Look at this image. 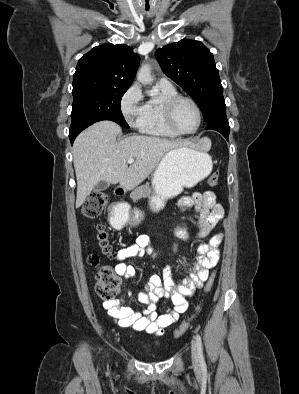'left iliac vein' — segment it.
<instances>
[{
  "label": "left iliac vein",
  "instance_id": "left-iliac-vein-1",
  "mask_svg": "<svg viewBox=\"0 0 299 394\" xmlns=\"http://www.w3.org/2000/svg\"><path fill=\"white\" fill-rule=\"evenodd\" d=\"M191 356H192V363L194 366H199V355H198V348L195 341H192L191 344Z\"/></svg>",
  "mask_w": 299,
  "mask_h": 394
}]
</instances>
